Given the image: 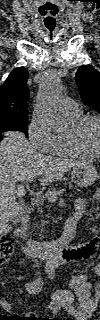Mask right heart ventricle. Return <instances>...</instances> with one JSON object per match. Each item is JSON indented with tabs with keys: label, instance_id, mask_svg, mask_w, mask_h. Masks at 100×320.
<instances>
[{
	"label": "right heart ventricle",
	"instance_id": "obj_1",
	"mask_svg": "<svg viewBox=\"0 0 100 320\" xmlns=\"http://www.w3.org/2000/svg\"><path fill=\"white\" fill-rule=\"evenodd\" d=\"M64 115L68 119L71 127L82 117V113L80 111L76 113H66ZM50 153L57 156L67 157L89 156V153L72 141L69 132L55 135L54 144Z\"/></svg>",
	"mask_w": 100,
	"mask_h": 320
}]
</instances>
